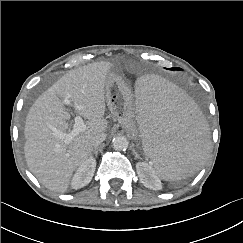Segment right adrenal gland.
I'll return each instance as SVG.
<instances>
[{
    "mask_svg": "<svg viewBox=\"0 0 243 243\" xmlns=\"http://www.w3.org/2000/svg\"><path fill=\"white\" fill-rule=\"evenodd\" d=\"M97 153H98V146L94 148L91 155L95 154V156L97 157Z\"/></svg>",
    "mask_w": 243,
    "mask_h": 243,
    "instance_id": "1",
    "label": "right adrenal gland"
}]
</instances>
